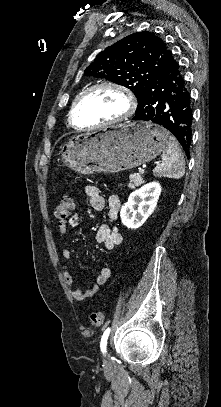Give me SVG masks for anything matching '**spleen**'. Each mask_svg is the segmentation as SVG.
<instances>
[{"label":"spleen","instance_id":"3e777b00","mask_svg":"<svg viewBox=\"0 0 221 407\" xmlns=\"http://www.w3.org/2000/svg\"><path fill=\"white\" fill-rule=\"evenodd\" d=\"M161 159V163L153 170L155 176L180 179L184 175L185 159L173 136H168L167 147L163 151Z\"/></svg>","mask_w":221,"mask_h":407}]
</instances>
